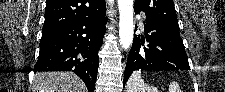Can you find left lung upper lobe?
Instances as JSON below:
<instances>
[{
  "label": "left lung upper lobe",
  "instance_id": "5c2ea615",
  "mask_svg": "<svg viewBox=\"0 0 225 92\" xmlns=\"http://www.w3.org/2000/svg\"><path fill=\"white\" fill-rule=\"evenodd\" d=\"M134 11L145 12L146 21L162 23L179 30L173 0H135Z\"/></svg>",
  "mask_w": 225,
  "mask_h": 92
}]
</instances>
